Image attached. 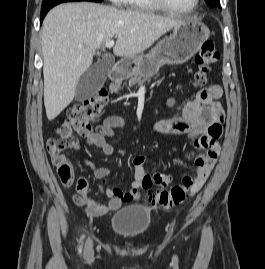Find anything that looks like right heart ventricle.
Segmentation results:
<instances>
[{"label": "right heart ventricle", "mask_w": 265, "mask_h": 269, "mask_svg": "<svg viewBox=\"0 0 265 269\" xmlns=\"http://www.w3.org/2000/svg\"><path fill=\"white\" fill-rule=\"evenodd\" d=\"M124 5L130 9L142 11H155L158 9L150 0H124Z\"/></svg>", "instance_id": "1"}]
</instances>
